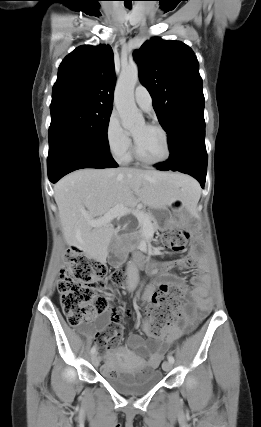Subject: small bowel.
I'll return each mask as SVG.
<instances>
[{
    "label": "small bowel",
    "mask_w": 261,
    "mask_h": 427,
    "mask_svg": "<svg viewBox=\"0 0 261 427\" xmlns=\"http://www.w3.org/2000/svg\"><path fill=\"white\" fill-rule=\"evenodd\" d=\"M174 267H196V258L190 254L172 262L161 263L159 275L146 289L143 301L149 302L157 287L162 289L173 281V276L168 271ZM191 284L193 286L191 291L192 308L183 314L184 323L182 326L173 324L166 328L160 336L147 342L137 334L129 335L128 344L136 351V355H129L128 360L138 368L139 372H149L157 368L170 346L182 335L189 333L208 312L210 300L207 276L200 272L191 279ZM106 307L108 313L99 318L96 327L81 329L87 337H97L99 347L102 350L109 349V345H115L119 341L122 335L121 328L112 329L108 325L110 322H118L125 315L118 308H115L111 302ZM140 324L144 330L148 329L147 322Z\"/></svg>",
    "instance_id": "1"
}]
</instances>
